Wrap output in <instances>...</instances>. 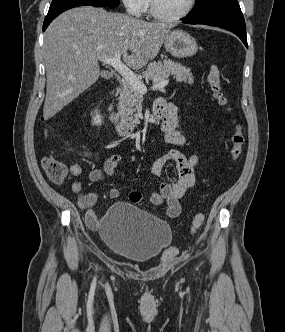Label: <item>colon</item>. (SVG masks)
<instances>
[{"mask_svg": "<svg viewBox=\"0 0 285 332\" xmlns=\"http://www.w3.org/2000/svg\"><path fill=\"white\" fill-rule=\"evenodd\" d=\"M207 82L218 104L228 109V101L222 89L220 70L216 65L211 66L207 75ZM244 141L242 128L236 125L230 138V157L232 161L236 162L240 159L243 153ZM42 166L49 179L55 184H62L68 177L67 166L52 156L43 158ZM204 219L205 216L202 212L197 213L191 223V232L198 230L202 226ZM177 253L178 251L175 246H169L163 254V259H171L175 257Z\"/></svg>", "mask_w": 285, "mask_h": 332, "instance_id": "colon-1", "label": "colon"}]
</instances>
